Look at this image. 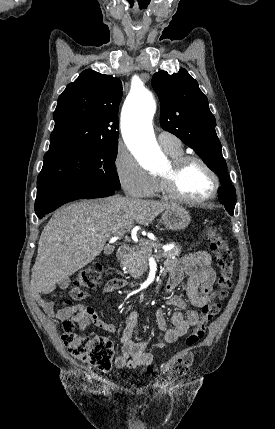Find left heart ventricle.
I'll return each instance as SVG.
<instances>
[{
    "mask_svg": "<svg viewBox=\"0 0 275 429\" xmlns=\"http://www.w3.org/2000/svg\"><path fill=\"white\" fill-rule=\"evenodd\" d=\"M168 167L169 163L160 170V173L166 172ZM177 187L187 197L202 199L211 193L213 181L208 172L199 163L192 162L181 172Z\"/></svg>",
    "mask_w": 275,
    "mask_h": 429,
    "instance_id": "1",
    "label": "left heart ventricle"
}]
</instances>
